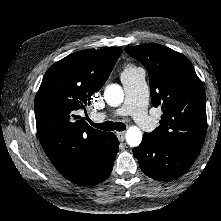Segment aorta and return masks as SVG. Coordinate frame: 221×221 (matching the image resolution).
<instances>
[{
  "label": "aorta",
  "mask_w": 221,
  "mask_h": 221,
  "mask_svg": "<svg viewBox=\"0 0 221 221\" xmlns=\"http://www.w3.org/2000/svg\"><path fill=\"white\" fill-rule=\"evenodd\" d=\"M104 99L111 107L119 106L124 100V92L120 85L109 84L104 90ZM126 142L131 147H137L142 141V132L137 126H130L126 131Z\"/></svg>",
  "instance_id": "762f6f07"
}]
</instances>
